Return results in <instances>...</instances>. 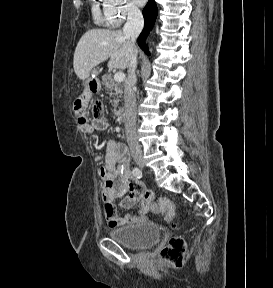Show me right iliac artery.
I'll use <instances>...</instances> for the list:
<instances>
[{
    "label": "right iliac artery",
    "instance_id": "right-iliac-artery-1",
    "mask_svg": "<svg viewBox=\"0 0 273 288\" xmlns=\"http://www.w3.org/2000/svg\"><path fill=\"white\" fill-rule=\"evenodd\" d=\"M132 174H133V176H135L138 179H140L142 177V171L137 167L133 168Z\"/></svg>",
    "mask_w": 273,
    "mask_h": 288
}]
</instances>
